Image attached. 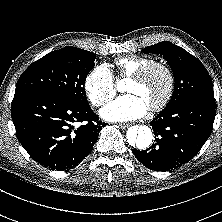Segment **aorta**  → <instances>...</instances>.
I'll return each instance as SVG.
<instances>
[{"label":"aorta","instance_id":"obj_1","mask_svg":"<svg viewBox=\"0 0 222 222\" xmlns=\"http://www.w3.org/2000/svg\"><path fill=\"white\" fill-rule=\"evenodd\" d=\"M123 86L122 82H119L118 87L121 89ZM126 140L128 144L135 149L145 150L153 142L152 130L145 125L132 126L126 133Z\"/></svg>","mask_w":222,"mask_h":222}]
</instances>
